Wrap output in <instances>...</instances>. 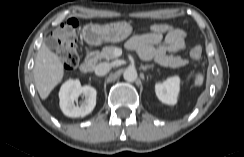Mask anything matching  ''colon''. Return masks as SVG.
I'll return each instance as SVG.
<instances>
[{
    "instance_id": "obj_1",
    "label": "colon",
    "mask_w": 244,
    "mask_h": 157,
    "mask_svg": "<svg viewBox=\"0 0 244 157\" xmlns=\"http://www.w3.org/2000/svg\"><path fill=\"white\" fill-rule=\"evenodd\" d=\"M172 26L166 23H155L149 26L152 33H165ZM78 22L71 18L62 23L55 31L54 37L58 42L57 54L66 69L72 70L79 63V54L76 47ZM202 48L195 45L190 50V57L193 60L201 58Z\"/></svg>"
}]
</instances>
